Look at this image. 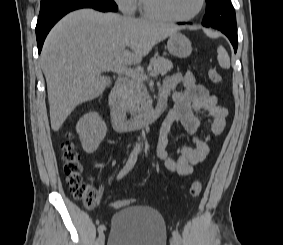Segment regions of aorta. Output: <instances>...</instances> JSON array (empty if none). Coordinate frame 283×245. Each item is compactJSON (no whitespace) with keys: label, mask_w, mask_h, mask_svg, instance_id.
Returning a JSON list of instances; mask_svg holds the SVG:
<instances>
[{"label":"aorta","mask_w":283,"mask_h":245,"mask_svg":"<svg viewBox=\"0 0 283 245\" xmlns=\"http://www.w3.org/2000/svg\"><path fill=\"white\" fill-rule=\"evenodd\" d=\"M136 149L140 150L141 149V143H136Z\"/></svg>","instance_id":"obj_1"}]
</instances>
